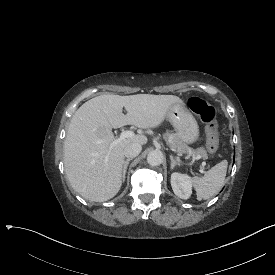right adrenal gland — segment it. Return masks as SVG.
I'll use <instances>...</instances> for the list:
<instances>
[{"mask_svg": "<svg viewBox=\"0 0 275 275\" xmlns=\"http://www.w3.org/2000/svg\"><path fill=\"white\" fill-rule=\"evenodd\" d=\"M132 158H128L124 161L123 166H122V182L125 181V175H126V170H127V166L129 161H132Z\"/></svg>", "mask_w": 275, "mask_h": 275, "instance_id": "2a0ac1e0", "label": "right adrenal gland"}]
</instances>
